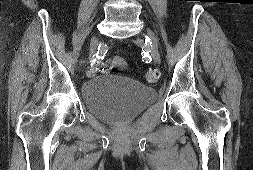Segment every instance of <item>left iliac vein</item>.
<instances>
[{
	"label": "left iliac vein",
	"instance_id": "4c4485c4",
	"mask_svg": "<svg viewBox=\"0 0 253 170\" xmlns=\"http://www.w3.org/2000/svg\"><path fill=\"white\" fill-rule=\"evenodd\" d=\"M148 32V35L150 36V47H149V51H150V54L153 58V60L160 64L161 63V57H160V54H159V51H158V43H157V40L154 36V34L150 31V30H147Z\"/></svg>",
	"mask_w": 253,
	"mask_h": 170
}]
</instances>
